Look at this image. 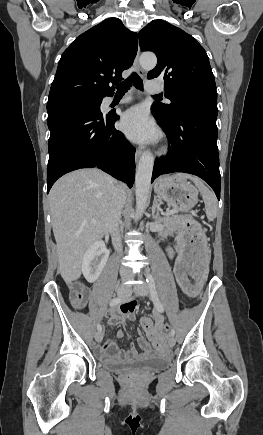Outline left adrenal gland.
<instances>
[{"label": "left adrenal gland", "mask_w": 263, "mask_h": 435, "mask_svg": "<svg viewBox=\"0 0 263 435\" xmlns=\"http://www.w3.org/2000/svg\"><path fill=\"white\" fill-rule=\"evenodd\" d=\"M161 200L154 196L153 206H152V216L155 220H160V212L162 209L160 208Z\"/></svg>", "instance_id": "a2214340"}]
</instances>
